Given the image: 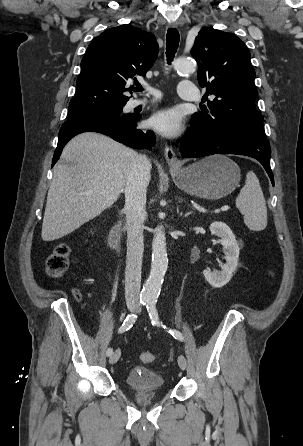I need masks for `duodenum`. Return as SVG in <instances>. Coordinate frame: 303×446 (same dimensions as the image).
<instances>
[{"mask_svg":"<svg viewBox=\"0 0 303 446\" xmlns=\"http://www.w3.org/2000/svg\"><path fill=\"white\" fill-rule=\"evenodd\" d=\"M120 237H121V223H118L110 231L108 236V244L111 249L117 250L119 248Z\"/></svg>","mask_w":303,"mask_h":446,"instance_id":"410a0bca","label":"duodenum"}]
</instances>
